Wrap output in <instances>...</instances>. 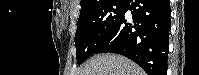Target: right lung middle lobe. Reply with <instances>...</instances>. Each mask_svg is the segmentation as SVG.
<instances>
[{"mask_svg": "<svg viewBox=\"0 0 199 75\" xmlns=\"http://www.w3.org/2000/svg\"><path fill=\"white\" fill-rule=\"evenodd\" d=\"M127 0H105L80 12L75 34L76 57L80 65L92 55L118 24Z\"/></svg>", "mask_w": 199, "mask_h": 75, "instance_id": "obj_1", "label": "right lung middle lobe"}]
</instances>
